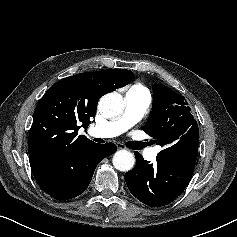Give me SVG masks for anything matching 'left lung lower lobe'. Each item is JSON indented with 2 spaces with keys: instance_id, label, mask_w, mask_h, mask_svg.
<instances>
[{
  "instance_id": "left-lung-lower-lobe-1",
  "label": "left lung lower lobe",
  "mask_w": 237,
  "mask_h": 237,
  "mask_svg": "<svg viewBox=\"0 0 237 237\" xmlns=\"http://www.w3.org/2000/svg\"><path fill=\"white\" fill-rule=\"evenodd\" d=\"M136 166L125 174V181L131 194L142 203L159 207L171 203L187 187L192 177L194 160L169 161L156 157L150 164L135 151Z\"/></svg>"
}]
</instances>
